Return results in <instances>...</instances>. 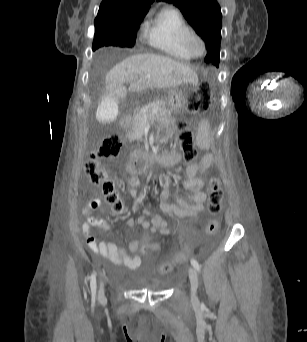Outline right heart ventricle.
Returning <instances> with one entry per match:
<instances>
[{"label": "right heart ventricle", "mask_w": 307, "mask_h": 342, "mask_svg": "<svg viewBox=\"0 0 307 342\" xmlns=\"http://www.w3.org/2000/svg\"><path fill=\"white\" fill-rule=\"evenodd\" d=\"M191 27L189 17L182 10L172 8L165 11L159 32L140 34L137 42L144 46L142 49L149 48L171 59L188 62L192 58L184 48L183 39Z\"/></svg>", "instance_id": "e07e8e85"}]
</instances>
